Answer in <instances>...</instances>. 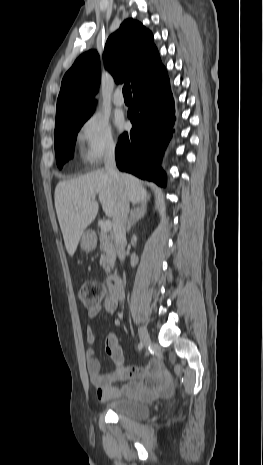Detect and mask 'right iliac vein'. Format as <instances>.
Here are the masks:
<instances>
[{
    "label": "right iliac vein",
    "mask_w": 263,
    "mask_h": 465,
    "mask_svg": "<svg viewBox=\"0 0 263 465\" xmlns=\"http://www.w3.org/2000/svg\"><path fill=\"white\" fill-rule=\"evenodd\" d=\"M138 333H139L140 341L143 344V346H148L151 340H150V336H149L147 329L143 326H140L138 328Z\"/></svg>",
    "instance_id": "63e3f726"
}]
</instances>
